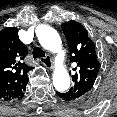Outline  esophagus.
I'll list each match as a JSON object with an SVG mask.
<instances>
[{
	"mask_svg": "<svg viewBox=\"0 0 117 117\" xmlns=\"http://www.w3.org/2000/svg\"><path fill=\"white\" fill-rule=\"evenodd\" d=\"M40 61L45 67H47L49 69L53 68V63H52V59L50 56H46L44 58H41Z\"/></svg>",
	"mask_w": 117,
	"mask_h": 117,
	"instance_id": "obj_1",
	"label": "esophagus"
}]
</instances>
